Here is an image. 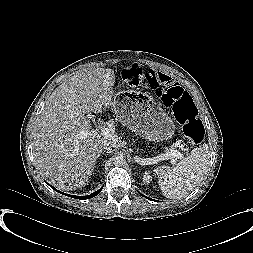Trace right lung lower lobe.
<instances>
[{
    "instance_id": "right-lung-lower-lobe-1",
    "label": "right lung lower lobe",
    "mask_w": 253,
    "mask_h": 253,
    "mask_svg": "<svg viewBox=\"0 0 253 253\" xmlns=\"http://www.w3.org/2000/svg\"><path fill=\"white\" fill-rule=\"evenodd\" d=\"M50 186H51V185H50ZM51 187H52V186H51ZM52 188H53V187H52ZM53 189L56 190L55 188H53ZM101 190H102V188L99 189V190H97L96 192H94V193L88 195V196H73V195H71V197L77 198V199H89V198H92V197L98 195V194L101 192ZM56 191H58V190H56ZM58 192H59V193H62V192H60V191H58ZM62 194H65V193H62ZM65 195L70 196V195H68V194H65Z\"/></svg>"
}]
</instances>
